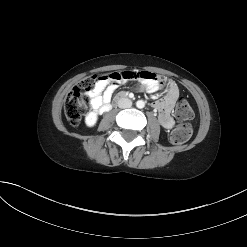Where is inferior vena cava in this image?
Returning <instances> with one entry per match:
<instances>
[{"label":"inferior vena cava","instance_id":"inferior-vena-cava-1","mask_svg":"<svg viewBox=\"0 0 247 247\" xmlns=\"http://www.w3.org/2000/svg\"><path fill=\"white\" fill-rule=\"evenodd\" d=\"M118 106L120 108H129L132 106V101L128 98H120L118 101Z\"/></svg>","mask_w":247,"mask_h":247}]
</instances>
